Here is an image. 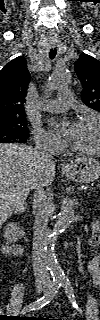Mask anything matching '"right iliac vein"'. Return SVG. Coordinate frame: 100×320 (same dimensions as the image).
<instances>
[{
  "label": "right iliac vein",
  "instance_id": "obj_1",
  "mask_svg": "<svg viewBox=\"0 0 100 320\" xmlns=\"http://www.w3.org/2000/svg\"><path fill=\"white\" fill-rule=\"evenodd\" d=\"M47 289V286L43 283H39L36 285V291L38 294H41L42 292H44Z\"/></svg>",
  "mask_w": 100,
  "mask_h": 320
}]
</instances>
